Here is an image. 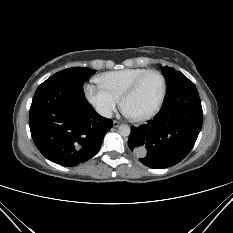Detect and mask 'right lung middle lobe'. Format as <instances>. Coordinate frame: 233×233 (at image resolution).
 Here are the masks:
<instances>
[{
  "mask_svg": "<svg viewBox=\"0 0 233 233\" xmlns=\"http://www.w3.org/2000/svg\"><path fill=\"white\" fill-rule=\"evenodd\" d=\"M95 72L96 70L85 67H74L57 72L49 79L64 80L83 86V83Z\"/></svg>",
  "mask_w": 233,
  "mask_h": 233,
  "instance_id": "1",
  "label": "right lung middle lobe"
}]
</instances>
